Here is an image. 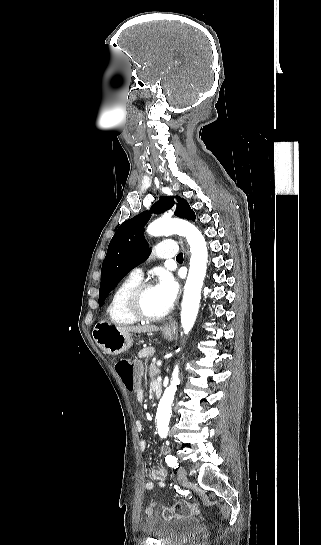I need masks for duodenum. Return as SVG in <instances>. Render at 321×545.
<instances>
[{"label": "duodenum", "instance_id": "obj_1", "mask_svg": "<svg viewBox=\"0 0 321 545\" xmlns=\"http://www.w3.org/2000/svg\"><path fill=\"white\" fill-rule=\"evenodd\" d=\"M153 390H154L156 396L159 397L161 395V384L159 382L155 383L153 385Z\"/></svg>", "mask_w": 321, "mask_h": 545}]
</instances>
